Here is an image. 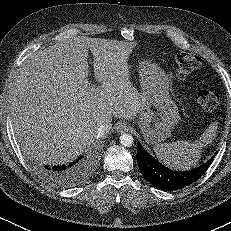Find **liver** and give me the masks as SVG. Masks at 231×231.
<instances>
[{"instance_id": "liver-1", "label": "liver", "mask_w": 231, "mask_h": 231, "mask_svg": "<svg viewBox=\"0 0 231 231\" xmlns=\"http://www.w3.org/2000/svg\"><path fill=\"white\" fill-rule=\"evenodd\" d=\"M137 41L77 36L41 50L19 68L10 116L22 151L41 163L62 164L87 151L100 125L139 114L128 58ZM95 82L89 81L88 51Z\"/></svg>"}]
</instances>
